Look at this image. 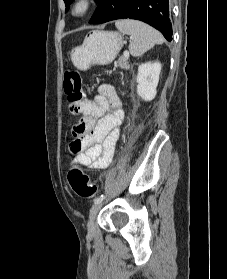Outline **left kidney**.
Masks as SVG:
<instances>
[{"label": "left kidney", "mask_w": 227, "mask_h": 279, "mask_svg": "<svg viewBox=\"0 0 227 279\" xmlns=\"http://www.w3.org/2000/svg\"><path fill=\"white\" fill-rule=\"evenodd\" d=\"M160 72L161 64L159 62H147L139 65L136 78L137 93L144 101H151L155 98Z\"/></svg>", "instance_id": "obj_1"}]
</instances>
